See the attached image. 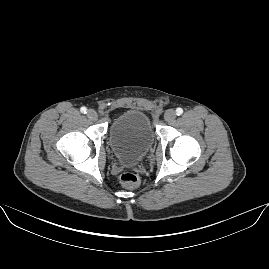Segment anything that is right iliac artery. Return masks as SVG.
Returning a JSON list of instances; mask_svg holds the SVG:
<instances>
[{
    "label": "right iliac artery",
    "mask_w": 269,
    "mask_h": 269,
    "mask_svg": "<svg viewBox=\"0 0 269 269\" xmlns=\"http://www.w3.org/2000/svg\"><path fill=\"white\" fill-rule=\"evenodd\" d=\"M80 111H81L82 113H84V114L87 113V109H86V107H81Z\"/></svg>",
    "instance_id": "82829eb1"
}]
</instances>
